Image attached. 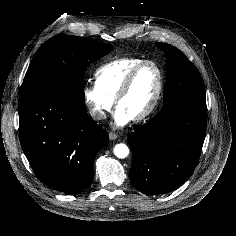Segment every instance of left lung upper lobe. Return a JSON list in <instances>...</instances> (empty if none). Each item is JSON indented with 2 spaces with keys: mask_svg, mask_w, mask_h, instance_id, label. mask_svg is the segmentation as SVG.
Listing matches in <instances>:
<instances>
[{
  "mask_svg": "<svg viewBox=\"0 0 236 236\" xmlns=\"http://www.w3.org/2000/svg\"><path fill=\"white\" fill-rule=\"evenodd\" d=\"M166 54L167 80L164 91V105L191 98L206 97L201 75L195 65L178 48L157 43Z\"/></svg>",
  "mask_w": 236,
  "mask_h": 236,
  "instance_id": "1",
  "label": "left lung upper lobe"
}]
</instances>
